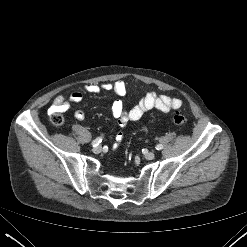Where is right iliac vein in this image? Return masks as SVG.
<instances>
[{
    "label": "right iliac vein",
    "instance_id": "63e3f726",
    "mask_svg": "<svg viewBox=\"0 0 247 247\" xmlns=\"http://www.w3.org/2000/svg\"><path fill=\"white\" fill-rule=\"evenodd\" d=\"M101 150H102V147H101L100 145H98V146H96V147L93 148V152H94L95 154L100 153Z\"/></svg>",
    "mask_w": 247,
    "mask_h": 247
}]
</instances>
